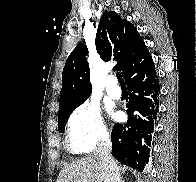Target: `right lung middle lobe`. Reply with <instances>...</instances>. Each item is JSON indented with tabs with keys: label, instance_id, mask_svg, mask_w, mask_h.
Masks as SVG:
<instances>
[{
	"label": "right lung middle lobe",
	"instance_id": "dd1d6c3e",
	"mask_svg": "<svg viewBox=\"0 0 196 182\" xmlns=\"http://www.w3.org/2000/svg\"><path fill=\"white\" fill-rule=\"evenodd\" d=\"M73 110H71L70 112L58 117V130H59V132H62V133L64 132L65 125H66V122L68 120V117L73 112Z\"/></svg>",
	"mask_w": 196,
	"mask_h": 182
}]
</instances>
